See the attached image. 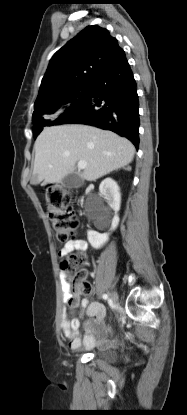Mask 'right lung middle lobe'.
I'll return each instance as SVG.
<instances>
[{
	"label": "right lung middle lobe",
	"instance_id": "1",
	"mask_svg": "<svg viewBox=\"0 0 187 415\" xmlns=\"http://www.w3.org/2000/svg\"><path fill=\"white\" fill-rule=\"evenodd\" d=\"M91 91V82L82 86L75 87L67 91L61 99L46 106L34 108L32 120L33 133L36 137L43 129V126L52 125L53 121L46 119L50 115H55L64 109L69 108L75 101L84 97Z\"/></svg>",
	"mask_w": 187,
	"mask_h": 415
}]
</instances>
